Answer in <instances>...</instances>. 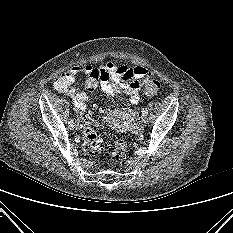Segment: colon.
Returning <instances> with one entry per match:
<instances>
[{
	"label": "colon",
	"mask_w": 233,
	"mask_h": 233,
	"mask_svg": "<svg viewBox=\"0 0 233 233\" xmlns=\"http://www.w3.org/2000/svg\"><path fill=\"white\" fill-rule=\"evenodd\" d=\"M108 80V75L101 69L94 68L88 75L85 81V87L89 91L96 90L102 82ZM144 90L148 96H153L159 90V82L152 78L147 77L143 80ZM59 87H64L66 84L59 80ZM83 134L86 141L87 149L91 154H95L100 150L101 140L98 137L95 130V120L91 114L86 115ZM127 151V144L123 140L116 141L112 155L115 157H120Z\"/></svg>",
	"instance_id": "1"
}]
</instances>
